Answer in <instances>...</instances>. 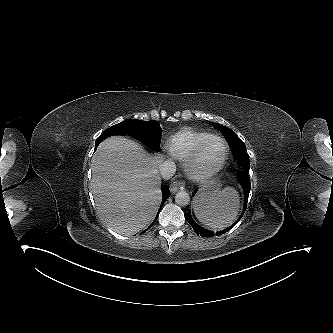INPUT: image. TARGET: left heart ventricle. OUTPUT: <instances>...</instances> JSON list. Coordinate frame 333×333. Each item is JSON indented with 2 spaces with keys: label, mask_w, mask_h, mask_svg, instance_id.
<instances>
[{
  "label": "left heart ventricle",
  "mask_w": 333,
  "mask_h": 333,
  "mask_svg": "<svg viewBox=\"0 0 333 333\" xmlns=\"http://www.w3.org/2000/svg\"><path fill=\"white\" fill-rule=\"evenodd\" d=\"M223 154L224 144L217 139L210 141L201 155L198 168L201 170L212 169L220 162Z\"/></svg>",
  "instance_id": "obj_1"
}]
</instances>
